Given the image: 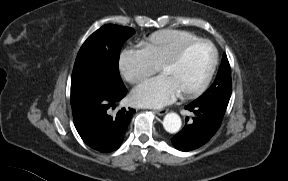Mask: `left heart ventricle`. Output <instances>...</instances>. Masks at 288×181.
I'll return each instance as SVG.
<instances>
[{
  "instance_id": "1",
  "label": "left heart ventricle",
  "mask_w": 288,
  "mask_h": 181,
  "mask_svg": "<svg viewBox=\"0 0 288 181\" xmlns=\"http://www.w3.org/2000/svg\"><path fill=\"white\" fill-rule=\"evenodd\" d=\"M214 60V52L208 44L192 48L176 65L161 70L179 93L198 86L207 76Z\"/></svg>"
}]
</instances>
